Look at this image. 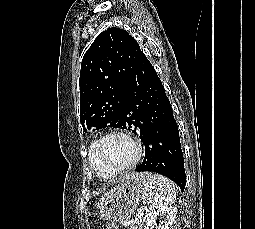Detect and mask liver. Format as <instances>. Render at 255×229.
<instances>
[{
    "instance_id": "6515ba94",
    "label": "liver",
    "mask_w": 255,
    "mask_h": 229,
    "mask_svg": "<svg viewBox=\"0 0 255 229\" xmlns=\"http://www.w3.org/2000/svg\"><path fill=\"white\" fill-rule=\"evenodd\" d=\"M115 191V188L111 189L109 192H107L104 196H102V198L100 199L99 203H98V208H100V206L102 205L103 203V200L109 196L111 193H113Z\"/></svg>"
}]
</instances>
